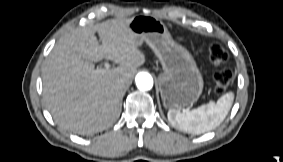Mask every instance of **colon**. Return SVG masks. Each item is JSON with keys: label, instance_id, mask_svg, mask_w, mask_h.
Returning a JSON list of instances; mask_svg holds the SVG:
<instances>
[{"label": "colon", "instance_id": "colon-1", "mask_svg": "<svg viewBox=\"0 0 283 162\" xmlns=\"http://www.w3.org/2000/svg\"><path fill=\"white\" fill-rule=\"evenodd\" d=\"M209 57L216 67L223 66L228 60L227 51L218 43L210 46ZM233 73L227 68L218 69L214 74V90L218 95H222L229 88Z\"/></svg>", "mask_w": 283, "mask_h": 162}]
</instances>
